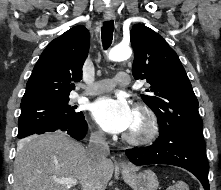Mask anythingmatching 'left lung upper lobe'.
<instances>
[{"label":"left lung upper lobe","mask_w":221,"mask_h":190,"mask_svg":"<svg viewBox=\"0 0 221 190\" xmlns=\"http://www.w3.org/2000/svg\"><path fill=\"white\" fill-rule=\"evenodd\" d=\"M130 37L134 49L132 74L150 84L148 94L141 98L156 114L159 127L204 141L198 100L176 52L142 24L133 26Z\"/></svg>","instance_id":"1"}]
</instances>
